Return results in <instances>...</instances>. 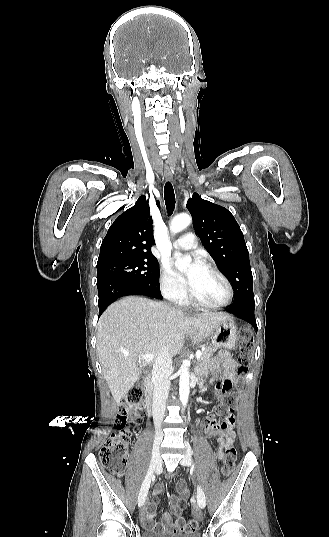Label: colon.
Returning <instances> with one entry per match:
<instances>
[{
	"label": "colon",
	"mask_w": 329,
	"mask_h": 537,
	"mask_svg": "<svg viewBox=\"0 0 329 537\" xmlns=\"http://www.w3.org/2000/svg\"><path fill=\"white\" fill-rule=\"evenodd\" d=\"M254 338L249 330H244L240 336V350L238 355V378L234 384L235 390L227 396H220V403L216 408V416L211 419L222 430L233 427L232 414L237 407L238 394L244 385L245 377L254 357ZM142 390L139 387L130 389L119 403L118 414L114 423V432L104 442L99 456L102 465L114 476H120L127 463V454L130 438L139 430L142 421ZM216 417L222 419L218 423ZM237 451L234 445L226 450L222 466V474L228 477L234 470ZM199 522L196 519L184 521L186 531L195 535L199 531Z\"/></svg>",
	"instance_id": "5ec220e1"
}]
</instances>
